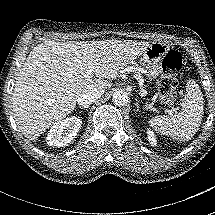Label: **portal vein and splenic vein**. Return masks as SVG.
<instances>
[{
  "label": "portal vein and splenic vein",
  "mask_w": 215,
  "mask_h": 215,
  "mask_svg": "<svg viewBox=\"0 0 215 215\" xmlns=\"http://www.w3.org/2000/svg\"><path fill=\"white\" fill-rule=\"evenodd\" d=\"M95 72H96V67H95V66L90 65V66L87 68V76L92 77V76H94ZM150 107H152V105H149V108H150Z\"/></svg>",
  "instance_id": "portal-vein-and-splenic-vein-1"
}]
</instances>
